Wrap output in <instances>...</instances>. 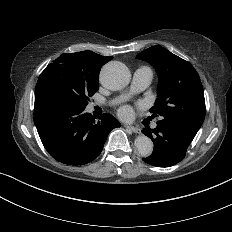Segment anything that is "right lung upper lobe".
I'll return each instance as SVG.
<instances>
[{"label": "right lung upper lobe", "mask_w": 232, "mask_h": 232, "mask_svg": "<svg viewBox=\"0 0 232 232\" xmlns=\"http://www.w3.org/2000/svg\"><path fill=\"white\" fill-rule=\"evenodd\" d=\"M112 56H101L92 51L62 54L55 61L71 68L81 70L91 76H99L101 66L110 61Z\"/></svg>", "instance_id": "cb5924a9"}]
</instances>
